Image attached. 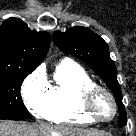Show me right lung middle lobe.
<instances>
[{
  "instance_id": "1",
  "label": "right lung middle lobe",
  "mask_w": 136,
  "mask_h": 136,
  "mask_svg": "<svg viewBox=\"0 0 136 136\" xmlns=\"http://www.w3.org/2000/svg\"><path fill=\"white\" fill-rule=\"evenodd\" d=\"M30 72H0V119L23 120L29 117L20 87Z\"/></svg>"
}]
</instances>
